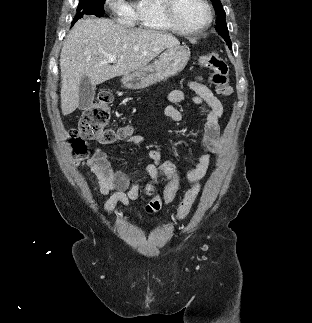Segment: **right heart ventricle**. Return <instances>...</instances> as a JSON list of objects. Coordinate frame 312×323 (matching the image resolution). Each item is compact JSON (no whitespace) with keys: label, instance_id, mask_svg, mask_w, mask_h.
Wrapping results in <instances>:
<instances>
[{"label":"right heart ventricle","instance_id":"right-heart-ventricle-1","mask_svg":"<svg viewBox=\"0 0 312 323\" xmlns=\"http://www.w3.org/2000/svg\"><path fill=\"white\" fill-rule=\"evenodd\" d=\"M134 25L137 29H177V22H170L167 11L163 9L162 3L151 1L149 5H138L137 9H131Z\"/></svg>","mask_w":312,"mask_h":323}]
</instances>
